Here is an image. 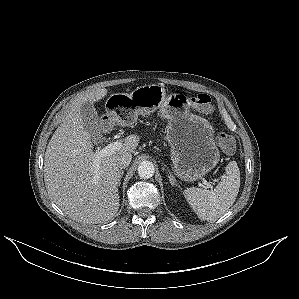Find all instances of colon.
Segmentation results:
<instances>
[{
	"label": "colon",
	"mask_w": 299,
	"mask_h": 299,
	"mask_svg": "<svg viewBox=\"0 0 299 299\" xmlns=\"http://www.w3.org/2000/svg\"><path fill=\"white\" fill-rule=\"evenodd\" d=\"M191 102L196 108L205 113H209L213 109L211 98L203 93L194 96L191 99ZM217 139L220 147L225 152L232 153L234 151L235 140L231 135L225 132H219L217 135Z\"/></svg>",
	"instance_id": "obj_1"
}]
</instances>
